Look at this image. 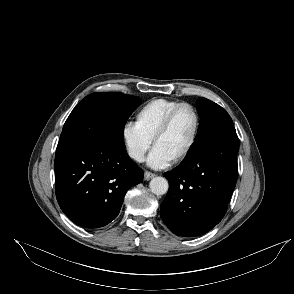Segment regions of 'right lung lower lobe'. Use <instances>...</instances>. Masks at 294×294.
Returning <instances> with one entry per match:
<instances>
[{
	"label": "right lung lower lobe",
	"mask_w": 294,
	"mask_h": 294,
	"mask_svg": "<svg viewBox=\"0 0 294 294\" xmlns=\"http://www.w3.org/2000/svg\"><path fill=\"white\" fill-rule=\"evenodd\" d=\"M143 180L123 142L96 140L57 150V201L66 216L85 228L103 227L119 214L126 192Z\"/></svg>",
	"instance_id": "obj_1"
}]
</instances>
